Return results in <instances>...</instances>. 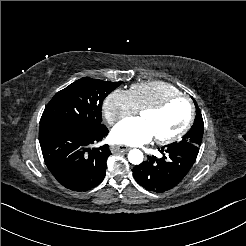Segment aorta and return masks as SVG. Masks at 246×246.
<instances>
[{"label": "aorta", "instance_id": "1", "mask_svg": "<svg viewBox=\"0 0 246 246\" xmlns=\"http://www.w3.org/2000/svg\"><path fill=\"white\" fill-rule=\"evenodd\" d=\"M143 153L139 149H132L128 153V160L131 164L139 165L143 162Z\"/></svg>", "mask_w": 246, "mask_h": 246}]
</instances>
